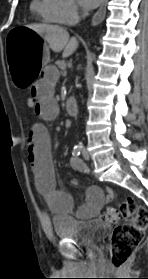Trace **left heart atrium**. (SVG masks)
I'll use <instances>...</instances> for the list:
<instances>
[{
  "label": "left heart atrium",
  "instance_id": "left-heart-atrium-1",
  "mask_svg": "<svg viewBox=\"0 0 148 279\" xmlns=\"http://www.w3.org/2000/svg\"><path fill=\"white\" fill-rule=\"evenodd\" d=\"M102 0H79L81 5L86 8H93L96 7Z\"/></svg>",
  "mask_w": 148,
  "mask_h": 279
}]
</instances>
